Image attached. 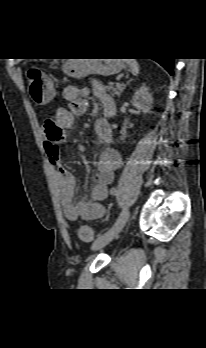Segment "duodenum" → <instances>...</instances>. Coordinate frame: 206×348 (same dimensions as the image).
<instances>
[{
  "label": "duodenum",
  "mask_w": 206,
  "mask_h": 348,
  "mask_svg": "<svg viewBox=\"0 0 206 348\" xmlns=\"http://www.w3.org/2000/svg\"><path fill=\"white\" fill-rule=\"evenodd\" d=\"M114 109H115L114 105H113V107L106 108L105 110H106L107 115L111 116L114 113ZM101 136L108 137L105 133H102Z\"/></svg>",
  "instance_id": "obj_1"
}]
</instances>
